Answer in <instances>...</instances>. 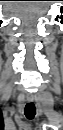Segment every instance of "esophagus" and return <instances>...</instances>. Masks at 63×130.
I'll list each match as a JSON object with an SVG mask.
<instances>
[{"instance_id":"1","label":"esophagus","mask_w":63,"mask_h":130,"mask_svg":"<svg viewBox=\"0 0 63 130\" xmlns=\"http://www.w3.org/2000/svg\"><path fill=\"white\" fill-rule=\"evenodd\" d=\"M27 100H28L29 102H33V101L35 100V97H34L33 95H28V96H27Z\"/></svg>"}]
</instances>
